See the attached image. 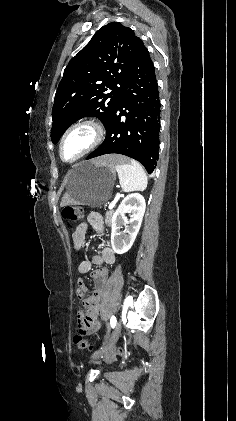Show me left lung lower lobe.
Segmentation results:
<instances>
[{
	"label": "left lung lower lobe",
	"mask_w": 236,
	"mask_h": 421,
	"mask_svg": "<svg viewBox=\"0 0 236 421\" xmlns=\"http://www.w3.org/2000/svg\"><path fill=\"white\" fill-rule=\"evenodd\" d=\"M153 62L139 47L122 94L105 125L104 142L86 159L117 153L139 161L152 173L157 165L160 101Z\"/></svg>",
	"instance_id": "obj_1"
}]
</instances>
